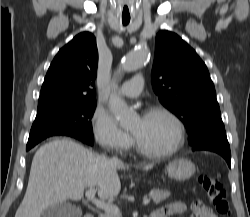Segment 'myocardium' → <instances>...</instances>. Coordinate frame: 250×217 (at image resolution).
<instances>
[{
    "label": "myocardium",
    "instance_id": "f54148a6",
    "mask_svg": "<svg viewBox=\"0 0 250 217\" xmlns=\"http://www.w3.org/2000/svg\"><path fill=\"white\" fill-rule=\"evenodd\" d=\"M152 114H162L170 119V121L174 124L176 129V139L175 143L168 149L164 151H151L145 147H143L133 135L134 143L136 150L147 157L150 158H165L172 156L176 152L180 150L185 141V126L181 119L170 109L162 105L151 106L147 109L144 116L152 115Z\"/></svg>",
    "mask_w": 250,
    "mask_h": 217
}]
</instances>
